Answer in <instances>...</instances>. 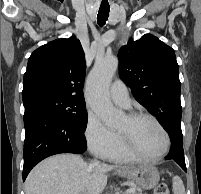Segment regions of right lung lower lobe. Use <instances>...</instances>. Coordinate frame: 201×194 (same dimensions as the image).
<instances>
[{
    "mask_svg": "<svg viewBox=\"0 0 201 194\" xmlns=\"http://www.w3.org/2000/svg\"><path fill=\"white\" fill-rule=\"evenodd\" d=\"M23 181L41 160L59 153L86 151L85 136L59 114L37 106L25 108Z\"/></svg>",
    "mask_w": 201,
    "mask_h": 194,
    "instance_id": "98d812e1",
    "label": "right lung lower lobe"
}]
</instances>
